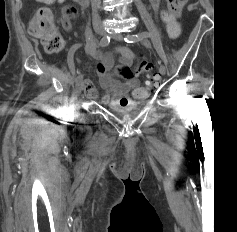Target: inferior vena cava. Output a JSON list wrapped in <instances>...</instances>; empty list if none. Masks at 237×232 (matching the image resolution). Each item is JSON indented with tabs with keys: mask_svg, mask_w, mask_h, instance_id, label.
I'll return each mask as SVG.
<instances>
[{
	"mask_svg": "<svg viewBox=\"0 0 237 232\" xmlns=\"http://www.w3.org/2000/svg\"><path fill=\"white\" fill-rule=\"evenodd\" d=\"M91 2H92L93 19L97 21L99 19L98 10H97L98 0H91Z\"/></svg>",
	"mask_w": 237,
	"mask_h": 232,
	"instance_id": "602c4592",
	"label": "inferior vena cava"
}]
</instances>
